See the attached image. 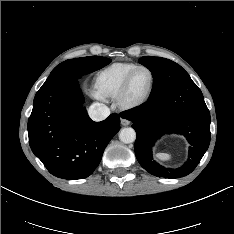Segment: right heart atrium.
Instances as JSON below:
<instances>
[{
  "instance_id": "right-heart-atrium-1",
  "label": "right heart atrium",
  "mask_w": 234,
  "mask_h": 234,
  "mask_svg": "<svg viewBox=\"0 0 234 234\" xmlns=\"http://www.w3.org/2000/svg\"><path fill=\"white\" fill-rule=\"evenodd\" d=\"M90 94H91L93 97H95V98H101V97L99 96V94L97 93L96 90H91V91H90Z\"/></svg>"
}]
</instances>
